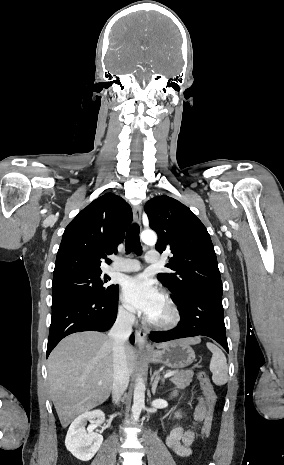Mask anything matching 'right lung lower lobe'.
<instances>
[{
  "instance_id": "obj_1",
  "label": "right lung lower lobe",
  "mask_w": 284,
  "mask_h": 465,
  "mask_svg": "<svg viewBox=\"0 0 284 465\" xmlns=\"http://www.w3.org/2000/svg\"><path fill=\"white\" fill-rule=\"evenodd\" d=\"M118 286L106 295H75L52 304L47 357L61 339L81 331H106L116 320ZM130 342L134 343L131 335Z\"/></svg>"
}]
</instances>
